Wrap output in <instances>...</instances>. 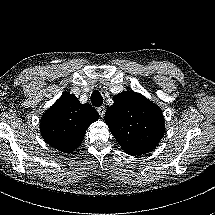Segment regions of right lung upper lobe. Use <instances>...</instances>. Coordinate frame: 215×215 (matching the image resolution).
I'll return each mask as SVG.
<instances>
[{
  "label": "right lung upper lobe",
  "mask_w": 215,
  "mask_h": 215,
  "mask_svg": "<svg viewBox=\"0 0 215 215\" xmlns=\"http://www.w3.org/2000/svg\"><path fill=\"white\" fill-rule=\"evenodd\" d=\"M98 118V112L90 104H81L73 94L65 93L42 116L41 135L55 149L71 153Z\"/></svg>",
  "instance_id": "right-lung-upper-lobe-1"
}]
</instances>
